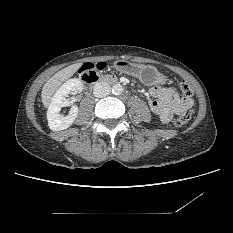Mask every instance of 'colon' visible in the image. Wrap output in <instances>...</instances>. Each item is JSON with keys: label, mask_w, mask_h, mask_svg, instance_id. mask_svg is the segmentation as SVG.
Here are the masks:
<instances>
[{"label": "colon", "mask_w": 233, "mask_h": 233, "mask_svg": "<svg viewBox=\"0 0 233 233\" xmlns=\"http://www.w3.org/2000/svg\"><path fill=\"white\" fill-rule=\"evenodd\" d=\"M107 67V64L105 62H97V63H84L82 64V66L79 69V72H81V74H97V72L99 71H103L105 68ZM179 88L181 90V93L183 95V97L188 100L189 102L193 101V92L190 88V86L185 82V81H181L179 83ZM192 115V111H186L184 113H182L180 116H178L175 121H174V125L176 127H182L184 126L188 120L191 118Z\"/></svg>", "instance_id": "obj_1"}]
</instances>
